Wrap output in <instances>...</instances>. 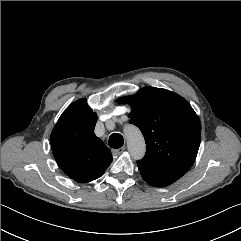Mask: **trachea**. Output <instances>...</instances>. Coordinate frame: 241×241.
Masks as SVG:
<instances>
[{"instance_id": "3493384b", "label": "trachea", "mask_w": 241, "mask_h": 241, "mask_svg": "<svg viewBox=\"0 0 241 241\" xmlns=\"http://www.w3.org/2000/svg\"><path fill=\"white\" fill-rule=\"evenodd\" d=\"M109 146L118 149L123 146V136L118 133H114L109 137Z\"/></svg>"}]
</instances>
